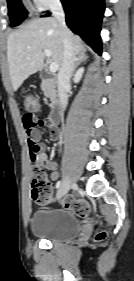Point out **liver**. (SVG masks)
I'll return each instance as SVG.
<instances>
[{
	"label": "liver",
	"instance_id": "obj_1",
	"mask_svg": "<svg viewBox=\"0 0 134 281\" xmlns=\"http://www.w3.org/2000/svg\"><path fill=\"white\" fill-rule=\"evenodd\" d=\"M68 31L75 54L85 51L80 37ZM45 49L52 52L51 59L60 69L64 43L62 28L55 18L33 19L8 36L7 60L13 91H17L30 75L42 69Z\"/></svg>",
	"mask_w": 134,
	"mask_h": 281
}]
</instances>
